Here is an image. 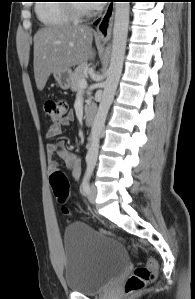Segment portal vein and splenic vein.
<instances>
[{"mask_svg": "<svg viewBox=\"0 0 195 299\" xmlns=\"http://www.w3.org/2000/svg\"><path fill=\"white\" fill-rule=\"evenodd\" d=\"M79 87H80L81 89L87 87V80H86L85 78H83V79H81V80L79 81Z\"/></svg>", "mask_w": 195, "mask_h": 299, "instance_id": "portal-vein-and-splenic-vein-1", "label": "portal vein and splenic vein"}]
</instances>
